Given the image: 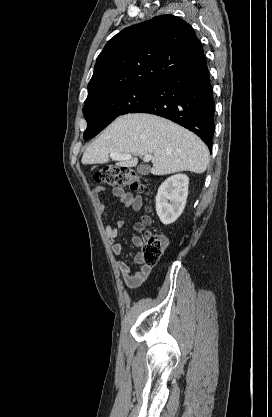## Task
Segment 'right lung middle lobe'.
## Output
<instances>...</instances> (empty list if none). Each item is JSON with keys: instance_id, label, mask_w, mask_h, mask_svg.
<instances>
[{"instance_id": "1", "label": "right lung middle lobe", "mask_w": 272, "mask_h": 417, "mask_svg": "<svg viewBox=\"0 0 272 417\" xmlns=\"http://www.w3.org/2000/svg\"><path fill=\"white\" fill-rule=\"evenodd\" d=\"M159 84L139 85L122 89L85 103L83 114L87 121L84 139L97 135L116 117L132 113L147 101Z\"/></svg>"}]
</instances>
